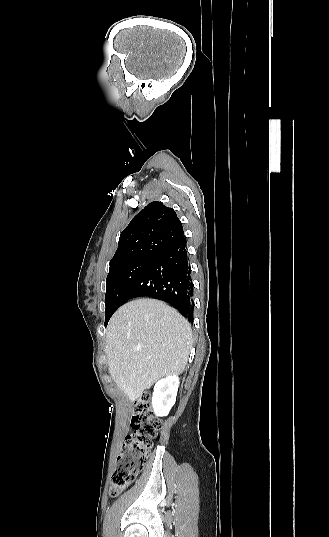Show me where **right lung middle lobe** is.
I'll use <instances>...</instances> for the list:
<instances>
[{"instance_id": "1", "label": "right lung middle lobe", "mask_w": 329, "mask_h": 537, "mask_svg": "<svg viewBox=\"0 0 329 537\" xmlns=\"http://www.w3.org/2000/svg\"><path fill=\"white\" fill-rule=\"evenodd\" d=\"M151 262L152 260H134L109 271L106 279L105 326L115 309L121 305L126 291Z\"/></svg>"}]
</instances>
